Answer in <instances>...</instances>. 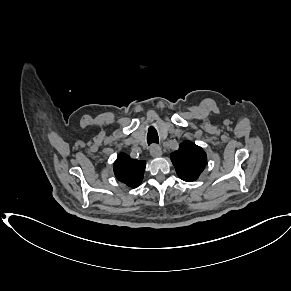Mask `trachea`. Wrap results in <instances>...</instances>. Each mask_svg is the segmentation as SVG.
I'll list each match as a JSON object with an SVG mask.
<instances>
[{
  "label": "trachea",
  "instance_id": "1",
  "mask_svg": "<svg viewBox=\"0 0 291 291\" xmlns=\"http://www.w3.org/2000/svg\"><path fill=\"white\" fill-rule=\"evenodd\" d=\"M147 142L149 145L152 143H159V137H158L157 131L152 126L149 127V129H148Z\"/></svg>",
  "mask_w": 291,
  "mask_h": 291
}]
</instances>
